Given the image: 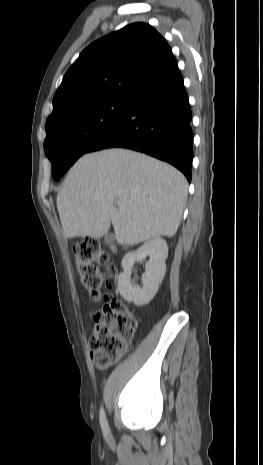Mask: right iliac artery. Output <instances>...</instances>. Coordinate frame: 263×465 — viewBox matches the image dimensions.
Wrapping results in <instances>:
<instances>
[{"instance_id": "right-iliac-artery-1", "label": "right iliac artery", "mask_w": 263, "mask_h": 465, "mask_svg": "<svg viewBox=\"0 0 263 465\" xmlns=\"http://www.w3.org/2000/svg\"><path fill=\"white\" fill-rule=\"evenodd\" d=\"M100 425H101L103 433L108 434L109 427H108V422H107V418L105 415V411L103 408H101L100 410Z\"/></svg>"}]
</instances>
